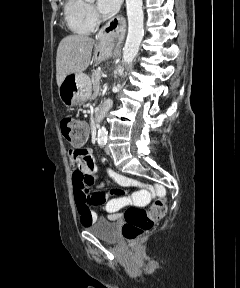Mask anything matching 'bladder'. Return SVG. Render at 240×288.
<instances>
[{
  "label": "bladder",
  "instance_id": "31cf9c89",
  "mask_svg": "<svg viewBox=\"0 0 240 288\" xmlns=\"http://www.w3.org/2000/svg\"><path fill=\"white\" fill-rule=\"evenodd\" d=\"M87 231L97 238L113 242L117 239V228L114 222L108 220H97L94 223L86 226Z\"/></svg>",
  "mask_w": 240,
  "mask_h": 288
}]
</instances>
